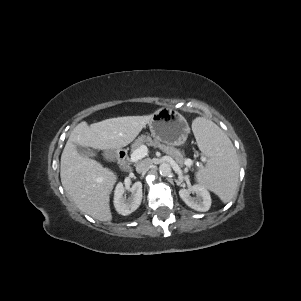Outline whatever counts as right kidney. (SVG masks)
Returning a JSON list of instances; mask_svg holds the SVG:
<instances>
[{
	"label": "right kidney",
	"mask_w": 301,
	"mask_h": 301,
	"mask_svg": "<svg viewBox=\"0 0 301 301\" xmlns=\"http://www.w3.org/2000/svg\"><path fill=\"white\" fill-rule=\"evenodd\" d=\"M124 192L123 184L118 183L114 191V207L119 214L127 216L134 212L141 204L142 183L136 182L133 184L130 188L132 195L128 199L124 196Z\"/></svg>",
	"instance_id": "1"
}]
</instances>
